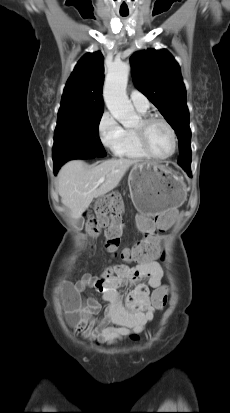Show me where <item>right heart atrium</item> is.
<instances>
[{
	"mask_svg": "<svg viewBox=\"0 0 230 413\" xmlns=\"http://www.w3.org/2000/svg\"><path fill=\"white\" fill-rule=\"evenodd\" d=\"M97 130L102 145L116 153L123 139L124 129L109 111H105L100 117Z\"/></svg>",
	"mask_w": 230,
	"mask_h": 413,
	"instance_id": "right-heart-atrium-1",
	"label": "right heart atrium"
}]
</instances>
